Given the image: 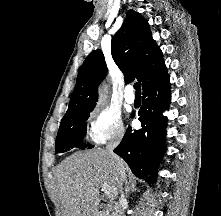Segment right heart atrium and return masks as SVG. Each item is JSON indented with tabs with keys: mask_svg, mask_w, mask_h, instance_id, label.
<instances>
[{
	"mask_svg": "<svg viewBox=\"0 0 221 216\" xmlns=\"http://www.w3.org/2000/svg\"><path fill=\"white\" fill-rule=\"evenodd\" d=\"M125 135V126L120 113L114 108L100 103L92 111L87 136L93 144L120 141Z\"/></svg>",
	"mask_w": 221,
	"mask_h": 216,
	"instance_id": "right-heart-atrium-1",
	"label": "right heart atrium"
}]
</instances>
